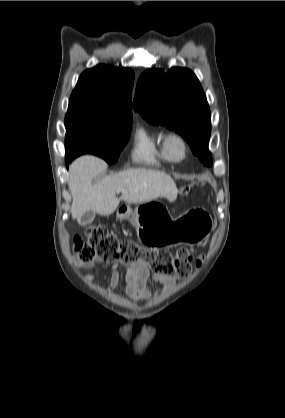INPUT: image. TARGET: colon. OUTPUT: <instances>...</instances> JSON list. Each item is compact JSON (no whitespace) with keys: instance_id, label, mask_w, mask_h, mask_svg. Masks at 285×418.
<instances>
[{"instance_id":"obj_1","label":"colon","mask_w":285,"mask_h":418,"mask_svg":"<svg viewBox=\"0 0 285 418\" xmlns=\"http://www.w3.org/2000/svg\"><path fill=\"white\" fill-rule=\"evenodd\" d=\"M73 250L77 260L91 264L119 261L126 266L144 263L159 277L179 279L185 277L195 263H201L203 256L194 258L187 248L177 249L175 255L160 249L140 247L134 241L121 239L111 234L102 225L85 228V235L77 233L73 238Z\"/></svg>"}]
</instances>
